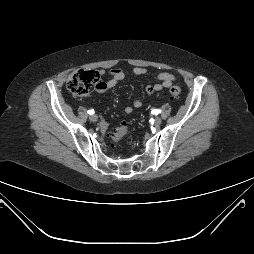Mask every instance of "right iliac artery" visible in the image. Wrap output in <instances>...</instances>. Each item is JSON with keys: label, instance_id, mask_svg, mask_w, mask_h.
<instances>
[{"label": "right iliac artery", "instance_id": "obj_1", "mask_svg": "<svg viewBox=\"0 0 254 254\" xmlns=\"http://www.w3.org/2000/svg\"><path fill=\"white\" fill-rule=\"evenodd\" d=\"M88 114L90 115L94 114V110L93 109L88 110Z\"/></svg>", "mask_w": 254, "mask_h": 254}]
</instances>
